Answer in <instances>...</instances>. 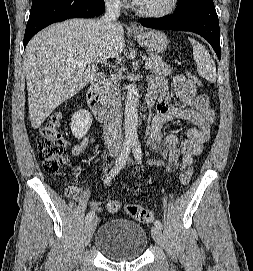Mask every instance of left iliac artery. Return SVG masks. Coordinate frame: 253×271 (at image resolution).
<instances>
[{"mask_svg": "<svg viewBox=\"0 0 253 271\" xmlns=\"http://www.w3.org/2000/svg\"><path fill=\"white\" fill-rule=\"evenodd\" d=\"M131 145H132V150H133V154H134L135 159L137 160V162L139 164H141L142 163V150H141L140 142L138 140H133L131 142ZM154 224L156 227L162 228V223L160 220H156L154 222Z\"/></svg>", "mask_w": 253, "mask_h": 271, "instance_id": "obj_1", "label": "left iliac artery"}]
</instances>
